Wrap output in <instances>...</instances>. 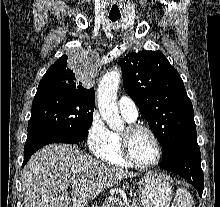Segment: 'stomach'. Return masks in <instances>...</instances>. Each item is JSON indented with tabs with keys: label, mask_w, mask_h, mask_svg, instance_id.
Segmentation results:
<instances>
[{
	"label": "stomach",
	"mask_w": 220,
	"mask_h": 207,
	"mask_svg": "<svg viewBox=\"0 0 220 207\" xmlns=\"http://www.w3.org/2000/svg\"><path fill=\"white\" fill-rule=\"evenodd\" d=\"M172 187L162 176L149 173L138 182V201L143 207H168Z\"/></svg>",
	"instance_id": "1"
}]
</instances>
